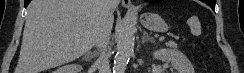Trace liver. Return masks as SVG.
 Segmentation results:
<instances>
[{
    "mask_svg": "<svg viewBox=\"0 0 244 73\" xmlns=\"http://www.w3.org/2000/svg\"><path fill=\"white\" fill-rule=\"evenodd\" d=\"M99 16L100 0H32L15 73H40L83 56L95 44Z\"/></svg>",
    "mask_w": 244,
    "mask_h": 73,
    "instance_id": "6515ba94",
    "label": "liver"
}]
</instances>
